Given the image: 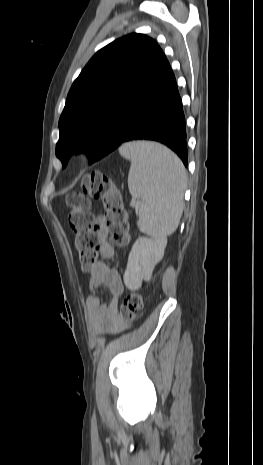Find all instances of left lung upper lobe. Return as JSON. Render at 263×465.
<instances>
[{
  "mask_svg": "<svg viewBox=\"0 0 263 465\" xmlns=\"http://www.w3.org/2000/svg\"><path fill=\"white\" fill-rule=\"evenodd\" d=\"M162 54L152 38L133 33L90 59L74 81L59 119L56 156L62 163L82 149L95 159L109 140L122 107L135 99L140 81Z\"/></svg>",
  "mask_w": 263,
  "mask_h": 465,
  "instance_id": "left-lung-upper-lobe-1",
  "label": "left lung upper lobe"
}]
</instances>
